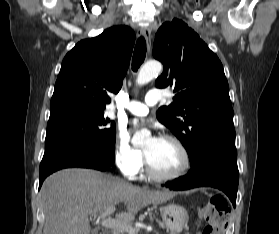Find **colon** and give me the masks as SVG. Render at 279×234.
Listing matches in <instances>:
<instances>
[{
	"mask_svg": "<svg viewBox=\"0 0 279 234\" xmlns=\"http://www.w3.org/2000/svg\"><path fill=\"white\" fill-rule=\"evenodd\" d=\"M229 205L224 197L212 196L199 210V219L205 223L202 234H225Z\"/></svg>",
	"mask_w": 279,
	"mask_h": 234,
	"instance_id": "1",
	"label": "colon"
}]
</instances>
